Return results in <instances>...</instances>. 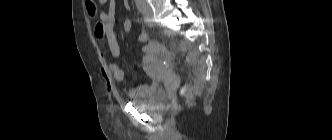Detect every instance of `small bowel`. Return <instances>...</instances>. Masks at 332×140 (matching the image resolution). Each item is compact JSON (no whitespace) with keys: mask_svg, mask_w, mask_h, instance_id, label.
<instances>
[{"mask_svg":"<svg viewBox=\"0 0 332 140\" xmlns=\"http://www.w3.org/2000/svg\"><path fill=\"white\" fill-rule=\"evenodd\" d=\"M100 3L104 8L98 15L99 21L95 25L94 34L104 49L110 53L112 58L117 59L120 56V46L115 33V0H100ZM124 4L126 9H129L127 0H125ZM147 40L148 35L144 32L140 33L137 37L139 43H145ZM152 49V44H146L143 46L142 51L148 53ZM102 73L110 91L113 90L114 82H122L125 79L124 70L116 62H111L103 66ZM146 87L147 85H140L138 87L129 88L127 95L129 98L139 97L145 93Z\"/></svg>","mask_w":332,"mask_h":140,"instance_id":"c3829d8e","label":"small bowel"}]
</instances>
